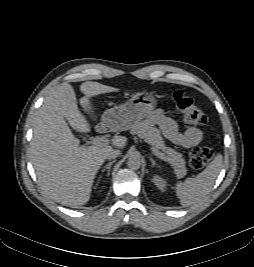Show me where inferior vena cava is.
Returning a JSON list of instances; mask_svg holds the SVG:
<instances>
[{
	"label": "inferior vena cava",
	"instance_id": "602c4592",
	"mask_svg": "<svg viewBox=\"0 0 254 267\" xmlns=\"http://www.w3.org/2000/svg\"><path fill=\"white\" fill-rule=\"evenodd\" d=\"M120 154H121V152H120V150H118V149H112V150H110L107 154H106V158L107 159H115V158H117L118 156H120Z\"/></svg>",
	"mask_w": 254,
	"mask_h": 267
}]
</instances>
